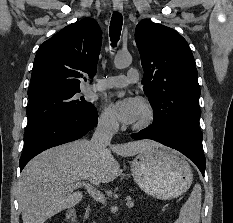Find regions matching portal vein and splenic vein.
Wrapping results in <instances>:
<instances>
[{
	"label": "portal vein and splenic vein",
	"instance_id": "obj_1",
	"mask_svg": "<svg viewBox=\"0 0 233 223\" xmlns=\"http://www.w3.org/2000/svg\"><path fill=\"white\" fill-rule=\"evenodd\" d=\"M91 187L90 183H85V181H76V183H72L71 187H74V189H77V187ZM90 195L96 199V201H101V203H105L106 197L104 193H101V191H98V189H91L89 191ZM126 205L129 207H133V201H127Z\"/></svg>",
	"mask_w": 233,
	"mask_h": 223
}]
</instances>
